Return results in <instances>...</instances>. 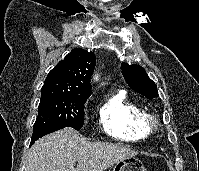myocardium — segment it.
I'll return each mask as SVG.
<instances>
[{"instance_id": "obj_1", "label": "myocardium", "mask_w": 199, "mask_h": 171, "mask_svg": "<svg viewBox=\"0 0 199 171\" xmlns=\"http://www.w3.org/2000/svg\"><path fill=\"white\" fill-rule=\"evenodd\" d=\"M146 120L152 129L159 125V119L153 114H146Z\"/></svg>"}]
</instances>
